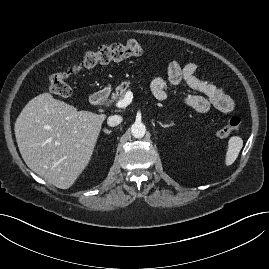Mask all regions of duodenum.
<instances>
[{
    "label": "duodenum",
    "mask_w": 269,
    "mask_h": 269,
    "mask_svg": "<svg viewBox=\"0 0 269 269\" xmlns=\"http://www.w3.org/2000/svg\"><path fill=\"white\" fill-rule=\"evenodd\" d=\"M109 95L110 90L108 88H102L91 95L90 97L91 104L94 106H101L108 99Z\"/></svg>",
    "instance_id": "1"
}]
</instances>
